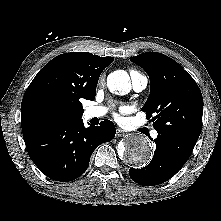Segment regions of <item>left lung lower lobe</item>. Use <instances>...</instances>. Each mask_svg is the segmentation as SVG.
Wrapping results in <instances>:
<instances>
[{
  "label": "left lung lower lobe",
  "mask_w": 221,
  "mask_h": 221,
  "mask_svg": "<svg viewBox=\"0 0 221 221\" xmlns=\"http://www.w3.org/2000/svg\"><path fill=\"white\" fill-rule=\"evenodd\" d=\"M151 162L129 170L130 177L143 186L159 185L173 177L187 162L196 143L171 134H158Z\"/></svg>",
  "instance_id": "left-lung-lower-lobe-1"
}]
</instances>
